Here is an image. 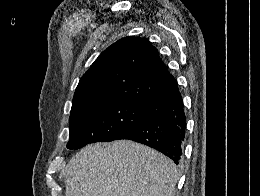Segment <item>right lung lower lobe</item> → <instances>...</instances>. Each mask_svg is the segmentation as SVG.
<instances>
[{"mask_svg": "<svg viewBox=\"0 0 260 196\" xmlns=\"http://www.w3.org/2000/svg\"><path fill=\"white\" fill-rule=\"evenodd\" d=\"M151 117L118 139H128L152 147L179 164L183 158L186 117L177 83L165 92L141 103Z\"/></svg>", "mask_w": 260, "mask_h": 196, "instance_id": "right-lung-lower-lobe-1", "label": "right lung lower lobe"}]
</instances>
